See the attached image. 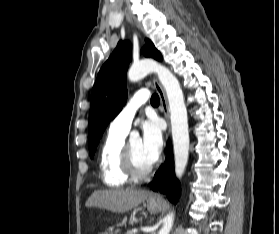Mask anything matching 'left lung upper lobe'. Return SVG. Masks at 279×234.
Returning a JSON list of instances; mask_svg holds the SVG:
<instances>
[{
	"mask_svg": "<svg viewBox=\"0 0 279 234\" xmlns=\"http://www.w3.org/2000/svg\"><path fill=\"white\" fill-rule=\"evenodd\" d=\"M146 57L162 60V55L147 39L142 49ZM131 45L119 42L100 69L91 93L88 140L92 158L109 122L121 111L127 98L126 73L131 61Z\"/></svg>",
	"mask_w": 279,
	"mask_h": 234,
	"instance_id": "5c2ea615",
	"label": "left lung upper lobe"
}]
</instances>
